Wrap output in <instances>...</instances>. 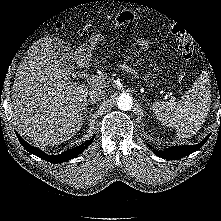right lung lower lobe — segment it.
<instances>
[{
    "label": "right lung lower lobe",
    "instance_id": "obj_1",
    "mask_svg": "<svg viewBox=\"0 0 221 221\" xmlns=\"http://www.w3.org/2000/svg\"><path fill=\"white\" fill-rule=\"evenodd\" d=\"M16 135L20 141V143L23 145V147L30 152L31 154H34L46 161H49L51 163H61L67 160H70L76 156H78L81 152H83L93 141L94 137L91 138L90 140H88L87 142L72 148L70 150L64 151L63 153L59 154V155H48L46 153H44L43 151L37 149L34 146H31L30 144H28L26 141H24L19 134L16 132Z\"/></svg>",
    "mask_w": 221,
    "mask_h": 221
}]
</instances>
